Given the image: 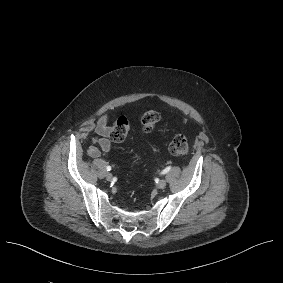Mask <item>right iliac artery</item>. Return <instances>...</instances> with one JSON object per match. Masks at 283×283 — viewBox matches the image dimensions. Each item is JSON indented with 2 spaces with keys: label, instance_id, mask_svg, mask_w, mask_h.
<instances>
[{
  "label": "right iliac artery",
  "instance_id": "82829eb1",
  "mask_svg": "<svg viewBox=\"0 0 283 283\" xmlns=\"http://www.w3.org/2000/svg\"><path fill=\"white\" fill-rule=\"evenodd\" d=\"M106 170H107V171H110V170H111V167H110V166H107V167H106Z\"/></svg>",
  "mask_w": 283,
  "mask_h": 283
}]
</instances>
